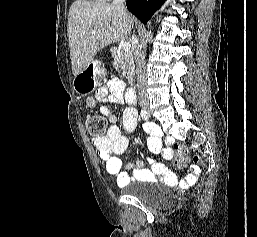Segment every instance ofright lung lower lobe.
Returning a JSON list of instances; mask_svg holds the SVG:
<instances>
[{
  "label": "right lung lower lobe",
  "instance_id": "1",
  "mask_svg": "<svg viewBox=\"0 0 257 237\" xmlns=\"http://www.w3.org/2000/svg\"><path fill=\"white\" fill-rule=\"evenodd\" d=\"M165 0H127L128 10L146 24Z\"/></svg>",
  "mask_w": 257,
  "mask_h": 237
}]
</instances>
